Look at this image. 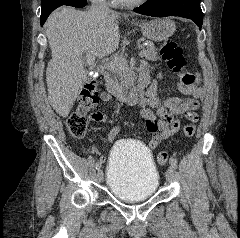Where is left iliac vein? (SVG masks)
<instances>
[{
	"label": "left iliac vein",
	"mask_w": 240,
	"mask_h": 238,
	"mask_svg": "<svg viewBox=\"0 0 240 238\" xmlns=\"http://www.w3.org/2000/svg\"><path fill=\"white\" fill-rule=\"evenodd\" d=\"M166 179L168 182H172L175 177V171L173 167H169L165 173Z\"/></svg>",
	"instance_id": "4c4485c4"
}]
</instances>
